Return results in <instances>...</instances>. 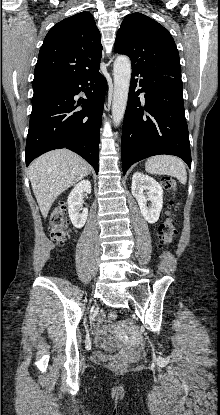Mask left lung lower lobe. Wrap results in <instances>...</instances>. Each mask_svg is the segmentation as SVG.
Here are the masks:
<instances>
[{"label": "left lung lower lobe", "mask_w": 220, "mask_h": 415, "mask_svg": "<svg viewBox=\"0 0 220 415\" xmlns=\"http://www.w3.org/2000/svg\"><path fill=\"white\" fill-rule=\"evenodd\" d=\"M136 87L140 89L135 92ZM140 93H144L143 98ZM160 154L178 156L191 168L182 80L132 69L122 130L123 174L135 162Z\"/></svg>", "instance_id": "0a47b994"}]
</instances>
